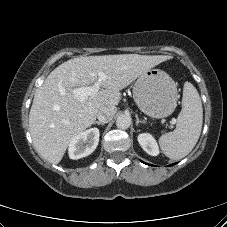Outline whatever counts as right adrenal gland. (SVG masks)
I'll use <instances>...</instances> for the list:
<instances>
[{
    "label": "right adrenal gland",
    "instance_id": "2a0ac1e0",
    "mask_svg": "<svg viewBox=\"0 0 227 227\" xmlns=\"http://www.w3.org/2000/svg\"><path fill=\"white\" fill-rule=\"evenodd\" d=\"M93 124H94V125H95V124H97V125H104L105 123L100 122V121H95Z\"/></svg>",
    "mask_w": 227,
    "mask_h": 227
}]
</instances>
